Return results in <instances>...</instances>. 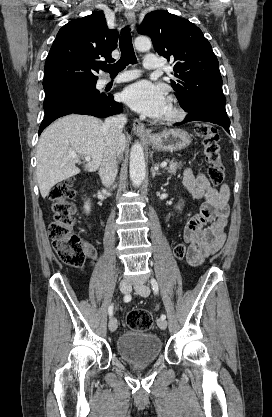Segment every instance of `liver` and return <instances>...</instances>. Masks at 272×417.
<instances>
[{
  "instance_id": "liver-1",
  "label": "liver",
  "mask_w": 272,
  "mask_h": 417,
  "mask_svg": "<svg viewBox=\"0 0 272 417\" xmlns=\"http://www.w3.org/2000/svg\"><path fill=\"white\" fill-rule=\"evenodd\" d=\"M126 146L125 135L118 140L116 156L120 157ZM106 133L102 120L87 115H68L46 128L37 146L36 175L41 196L49 195L51 188L77 175L81 164L80 156L92 160L84 165L85 170L99 169L107 148ZM72 151L77 158H72Z\"/></svg>"
}]
</instances>
